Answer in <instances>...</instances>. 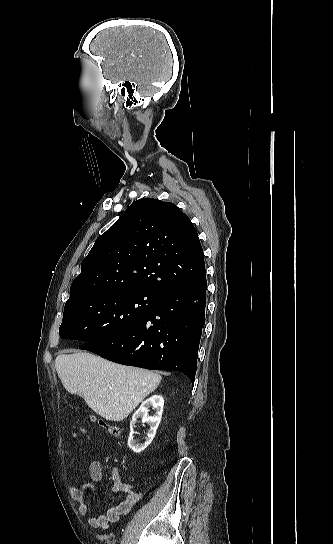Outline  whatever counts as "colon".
<instances>
[{"label":"colon","mask_w":333,"mask_h":544,"mask_svg":"<svg viewBox=\"0 0 333 544\" xmlns=\"http://www.w3.org/2000/svg\"><path fill=\"white\" fill-rule=\"evenodd\" d=\"M96 421V418L95 417H90L89 420L87 421V424L91 423V422H94ZM99 424L111 435L113 436H119L120 435V428L113 424V423H110V422H107V421H103V420H99ZM86 432V425H80L79 426V432L78 433H75L74 436L75 437H78V435L81 433H85Z\"/></svg>","instance_id":"5ec220e1"}]
</instances>
